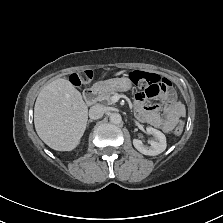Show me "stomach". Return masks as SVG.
I'll list each match as a JSON object with an SVG mask.
<instances>
[{"mask_svg":"<svg viewBox=\"0 0 223 223\" xmlns=\"http://www.w3.org/2000/svg\"><path fill=\"white\" fill-rule=\"evenodd\" d=\"M133 82L129 77L114 78L104 81H99L94 84V90L101 94L105 91H125L130 88Z\"/></svg>","mask_w":223,"mask_h":223,"instance_id":"0dacf381","label":"stomach"}]
</instances>
